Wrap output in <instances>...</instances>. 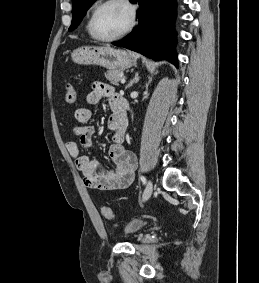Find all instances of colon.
Listing matches in <instances>:
<instances>
[{"label":"colon","mask_w":259,"mask_h":283,"mask_svg":"<svg viewBox=\"0 0 259 283\" xmlns=\"http://www.w3.org/2000/svg\"><path fill=\"white\" fill-rule=\"evenodd\" d=\"M77 92L74 85L70 82L65 85V100L68 104H73L76 101ZM102 214L107 219L113 218V212L109 206L102 207Z\"/></svg>","instance_id":"1"}]
</instances>
